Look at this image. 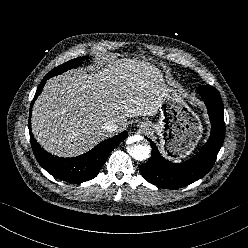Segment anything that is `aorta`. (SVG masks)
Listing matches in <instances>:
<instances>
[{
  "instance_id": "1",
  "label": "aorta",
  "mask_w": 248,
  "mask_h": 248,
  "mask_svg": "<svg viewBox=\"0 0 248 248\" xmlns=\"http://www.w3.org/2000/svg\"><path fill=\"white\" fill-rule=\"evenodd\" d=\"M130 139L132 142L140 140L139 136H133ZM150 151V146L146 144L130 145L127 148V152L130 154V156L139 161L147 159L149 157Z\"/></svg>"
}]
</instances>
